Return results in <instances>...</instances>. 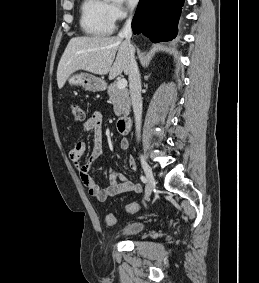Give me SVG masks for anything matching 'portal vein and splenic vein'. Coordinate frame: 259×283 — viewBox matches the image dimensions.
<instances>
[{
	"label": "portal vein and splenic vein",
	"instance_id": "portal-vein-and-splenic-vein-1",
	"mask_svg": "<svg viewBox=\"0 0 259 283\" xmlns=\"http://www.w3.org/2000/svg\"><path fill=\"white\" fill-rule=\"evenodd\" d=\"M127 86V81L126 79H120L118 82H117V87L120 88V89H124L126 88Z\"/></svg>",
	"mask_w": 259,
	"mask_h": 283
}]
</instances>
